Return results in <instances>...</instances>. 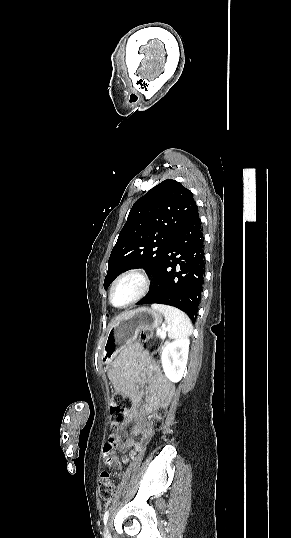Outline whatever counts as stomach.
Returning a JSON list of instances; mask_svg holds the SVG:
<instances>
[{
	"label": "stomach",
	"instance_id": "0dacf381",
	"mask_svg": "<svg viewBox=\"0 0 291 538\" xmlns=\"http://www.w3.org/2000/svg\"><path fill=\"white\" fill-rule=\"evenodd\" d=\"M161 323L162 313L159 311L139 308L129 312L109 330L101 353L102 362L105 365L113 363V357L134 342L140 331L159 328Z\"/></svg>",
	"mask_w": 291,
	"mask_h": 538
}]
</instances>
